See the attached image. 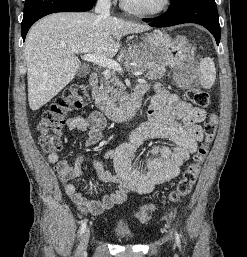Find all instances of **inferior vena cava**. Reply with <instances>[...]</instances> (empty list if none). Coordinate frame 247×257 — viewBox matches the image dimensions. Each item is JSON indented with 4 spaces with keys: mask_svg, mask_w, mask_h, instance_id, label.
I'll use <instances>...</instances> for the list:
<instances>
[{
    "mask_svg": "<svg viewBox=\"0 0 247 257\" xmlns=\"http://www.w3.org/2000/svg\"><path fill=\"white\" fill-rule=\"evenodd\" d=\"M110 0H97L95 13L101 16H109L110 14Z\"/></svg>",
    "mask_w": 247,
    "mask_h": 257,
    "instance_id": "602c4592",
    "label": "inferior vena cava"
}]
</instances>
